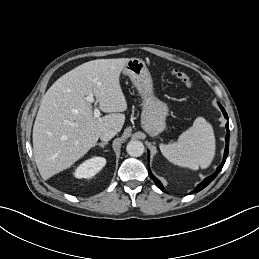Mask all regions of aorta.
I'll use <instances>...</instances> for the list:
<instances>
[{"instance_id":"aorta-1","label":"aorta","mask_w":259,"mask_h":259,"mask_svg":"<svg viewBox=\"0 0 259 259\" xmlns=\"http://www.w3.org/2000/svg\"><path fill=\"white\" fill-rule=\"evenodd\" d=\"M126 151L131 157H139L144 153V145L141 141L132 140L127 144Z\"/></svg>"}]
</instances>
